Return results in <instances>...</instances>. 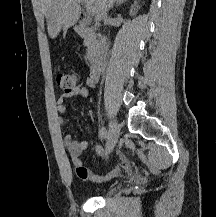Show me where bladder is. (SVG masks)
Instances as JSON below:
<instances>
[{"instance_id": "bladder-1", "label": "bladder", "mask_w": 216, "mask_h": 217, "mask_svg": "<svg viewBox=\"0 0 216 217\" xmlns=\"http://www.w3.org/2000/svg\"><path fill=\"white\" fill-rule=\"evenodd\" d=\"M117 189H118V187H117V186H114V187H112V188L106 190V191L104 192V195H110V194L114 193Z\"/></svg>"}]
</instances>
